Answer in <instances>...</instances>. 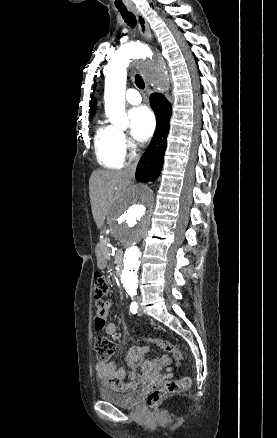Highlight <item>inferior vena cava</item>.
I'll use <instances>...</instances> for the list:
<instances>
[{
    "label": "inferior vena cava",
    "mask_w": 277,
    "mask_h": 438,
    "mask_svg": "<svg viewBox=\"0 0 277 438\" xmlns=\"http://www.w3.org/2000/svg\"><path fill=\"white\" fill-rule=\"evenodd\" d=\"M138 160L139 158H135L134 162H132V164H129V166H127V168H125L124 170L125 174L129 176L130 180L131 178H135V172H136Z\"/></svg>",
    "instance_id": "602c4592"
}]
</instances>
